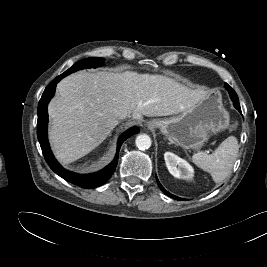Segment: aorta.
<instances>
[{
    "instance_id": "obj_1",
    "label": "aorta",
    "mask_w": 267,
    "mask_h": 267,
    "mask_svg": "<svg viewBox=\"0 0 267 267\" xmlns=\"http://www.w3.org/2000/svg\"><path fill=\"white\" fill-rule=\"evenodd\" d=\"M135 143L140 150H147L151 146V138L147 134H141L137 136Z\"/></svg>"
}]
</instances>
